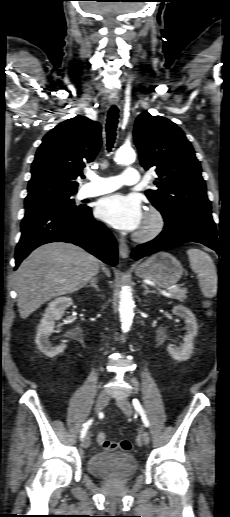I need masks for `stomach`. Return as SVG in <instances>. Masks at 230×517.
<instances>
[{"label": "stomach", "instance_id": "obj_1", "mask_svg": "<svg viewBox=\"0 0 230 517\" xmlns=\"http://www.w3.org/2000/svg\"><path fill=\"white\" fill-rule=\"evenodd\" d=\"M135 274L162 288L175 285L183 274L181 263L171 254L159 252L135 267Z\"/></svg>", "mask_w": 230, "mask_h": 517}]
</instances>
